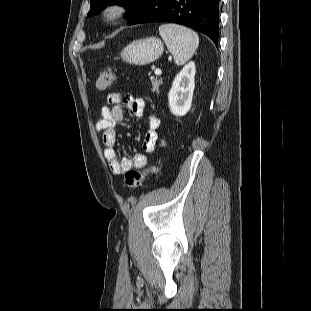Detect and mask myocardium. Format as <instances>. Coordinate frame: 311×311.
Here are the masks:
<instances>
[{
	"instance_id": "obj_1",
	"label": "myocardium",
	"mask_w": 311,
	"mask_h": 311,
	"mask_svg": "<svg viewBox=\"0 0 311 311\" xmlns=\"http://www.w3.org/2000/svg\"><path fill=\"white\" fill-rule=\"evenodd\" d=\"M127 9L120 3L107 5L103 10V18L109 24H114L124 17Z\"/></svg>"
}]
</instances>
